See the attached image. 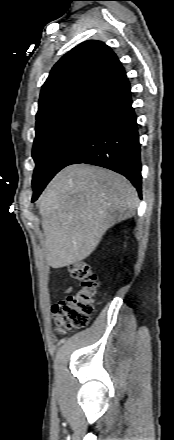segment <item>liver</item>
<instances>
[{
    "instance_id": "1",
    "label": "liver",
    "mask_w": 174,
    "mask_h": 440,
    "mask_svg": "<svg viewBox=\"0 0 174 440\" xmlns=\"http://www.w3.org/2000/svg\"><path fill=\"white\" fill-rule=\"evenodd\" d=\"M138 203L136 189L118 173L82 164L64 168L39 198L48 264L62 268L86 259Z\"/></svg>"
}]
</instances>
